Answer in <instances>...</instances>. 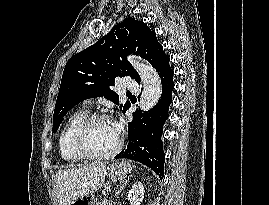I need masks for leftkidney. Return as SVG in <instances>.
Segmentation results:
<instances>
[{
    "label": "left kidney",
    "mask_w": 269,
    "mask_h": 205,
    "mask_svg": "<svg viewBox=\"0 0 269 205\" xmlns=\"http://www.w3.org/2000/svg\"><path fill=\"white\" fill-rule=\"evenodd\" d=\"M144 198V185L141 182L133 184L128 193V200L131 205H141Z\"/></svg>",
    "instance_id": "left-kidney-1"
}]
</instances>
